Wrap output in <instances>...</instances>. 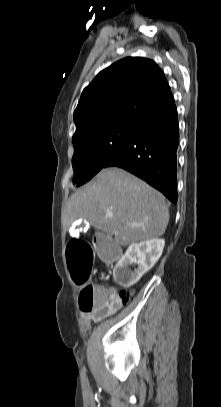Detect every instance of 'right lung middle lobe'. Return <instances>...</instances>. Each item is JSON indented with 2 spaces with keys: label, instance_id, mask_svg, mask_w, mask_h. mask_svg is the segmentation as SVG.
I'll use <instances>...</instances> for the list:
<instances>
[{
  "label": "right lung middle lobe",
  "instance_id": "1",
  "mask_svg": "<svg viewBox=\"0 0 221 407\" xmlns=\"http://www.w3.org/2000/svg\"><path fill=\"white\" fill-rule=\"evenodd\" d=\"M137 124L123 123L90 132L76 140L72 166L73 183L80 186L89 181L128 140Z\"/></svg>",
  "mask_w": 221,
  "mask_h": 407
}]
</instances>
